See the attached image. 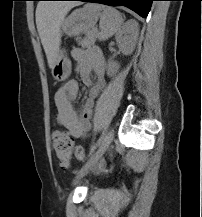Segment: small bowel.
Listing matches in <instances>:
<instances>
[{"label":"small bowel","mask_w":202,"mask_h":217,"mask_svg":"<svg viewBox=\"0 0 202 217\" xmlns=\"http://www.w3.org/2000/svg\"><path fill=\"white\" fill-rule=\"evenodd\" d=\"M72 56L76 62V71L84 84L89 87L88 96L80 111L74 107L78 95V83L70 79L62 84L54 94L57 107V122L62 125L73 138L83 137L90 129L93 107L100 93L105 88V62L97 49H74ZM95 73L92 81L91 72Z\"/></svg>","instance_id":"c3829d8e"}]
</instances>
